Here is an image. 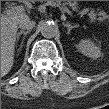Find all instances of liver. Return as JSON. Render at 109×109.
I'll list each match as a JSON object with an SVG mask.
<instances>
[{
  "label": "liver",
  "instance_id": "6515ba94",
  "mask_svg": "<svg viewBox=\"0 0 109 109\" xmlns=\"http://www.w3.org/2000/svg\"><path fill=\"white\" fill-rule=\"evenodd\" d=\"M29 16L25 13L3 15L1 17V75L5 76L11 70L14 62V45L17 25Z\"/></svg>",
  "mask_w": 109,
  "mask_h": 109
}]
</instances>
